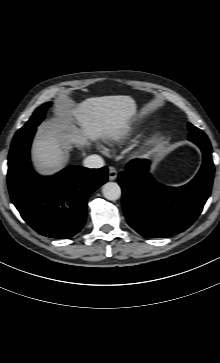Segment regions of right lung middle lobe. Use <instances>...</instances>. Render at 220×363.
I'll return each instance as SVG.
<instances>
[{
  "instance_id": "obj_1",
  "label": "right lung middle lobe",
  "mask_w": 220,
  "mask_h": 363,
  "mask_svg": "<svg viewBox=\"0 0 220 363\" xmlns=\"http://www.w3.org/2000/svg\"><path fill=\"white\" fill-rule=\"evenodd\" d=\"M51 103H45L35 110L29 121L18 130L14 139L20 138L22 135L28 133L33 128H36L45 117L46 110L50 107Z\"/></svg>"
}]
</instances>
